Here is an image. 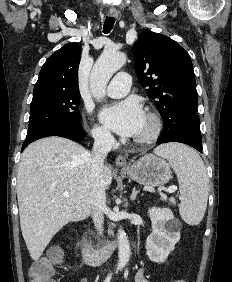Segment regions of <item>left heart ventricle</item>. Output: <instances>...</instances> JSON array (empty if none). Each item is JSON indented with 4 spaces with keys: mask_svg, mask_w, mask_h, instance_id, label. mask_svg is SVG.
Wrapping results in <instances>:
<instances>
[{
    "mask_svg": "<svg viewBox=\"0 0 232 282\" xmlns=\"http://www.w3.org/2000/svg\"><path fill=\"white\" fill-rule=\"evenodd\" d=\"M149 129V123H148V120L145 116V120H144V123H143V126L142 128L140 129V131L138 132V134L135 136V137H139V136H142L144 135Z\"/></svg>",
    "mask_w": 232,
    "mask_h": 282,
    "instance_id": "b2bd125f",
    "label": "left heart ventricle"
}]
</instances>
